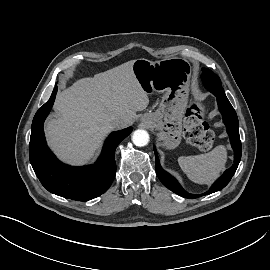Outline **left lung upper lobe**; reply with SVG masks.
Returning <instances> with one entry per match:
<instances>
[{
  "mask_svg": "<svg viewBox=\"0 0 270 270\" xmlns=\"http://www.w3.org/2000/svg\"><path fill=\"white\" fill-rule=\"evenodd\" d=\"M202 72H203L202 79L205 87L215 96L227 98L221 86V81L219 77L207 68H203Z\"/></svg>",
  "mask_w": 270,
  "mask_h": 270,
  "instance_id": "left-lung-upper-lobe-1",
  "label": "left lung upper lobe"
}]
</instances>
